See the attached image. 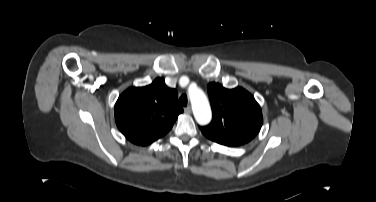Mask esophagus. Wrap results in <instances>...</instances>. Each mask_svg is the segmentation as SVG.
I'll return each mask as SVG.
<instances>
[{
	"instance_id": "34e87169",
	"label": "esophagus",
	"mask_w": 376,
	"mask_h": 202,
	"mask_svg": "<svg viewBox=\"0 0 376 202\" xmlns=\"http://www.w3.org/2000/svg\"><path fill=\"white\" fill-rule=\"evenodd\" d=\"M185 113L186 114H190L191 113V107L190 106H187L185 109H184Z\"/></svg>"
}]
</instances>
